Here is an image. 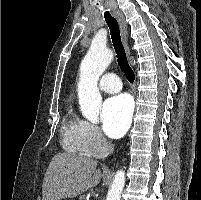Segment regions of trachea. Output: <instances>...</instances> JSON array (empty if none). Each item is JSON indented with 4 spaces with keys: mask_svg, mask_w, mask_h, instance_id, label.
I'll list each match as a JSON object with an SVG mask.
<instances>
[{
    "mask_svg": "<svg viewBox=\"0 0 201 200\" xmlns=\"http://www.w3.org/2000/svg\"><path fill=\"white\" fill-rule=\"evenodd\" d=\"M105 21L110 29L111 39L117 55V61L121 69L124 71L128 81L133 83L135 75L128 64L125 49L121 42L120 30L117 20L107 11L104 13Z\"/></svg>",
    "mask_w": 201,
    "mask_h": 200,
    "instance_id": "1",
    "label": "trachea"
}]
</instances>
